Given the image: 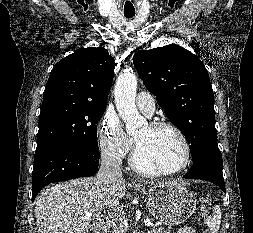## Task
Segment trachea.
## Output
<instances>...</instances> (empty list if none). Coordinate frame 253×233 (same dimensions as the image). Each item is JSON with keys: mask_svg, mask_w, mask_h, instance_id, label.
Wrapping results in <instances>:
<instances>
[{"mask_svg": "<svg viewBox=\"0 0 253 233\" xmlns=\"http://www.w3.org/2000/svg\"><path fill=\"white\" fill-rule=\"evenodd\" d=\"M135 15V13H124V16L128 19L132 18Z\"/></svg>", "mask_w": 253, "mask_h": 233, "instance_id": "obj_1", "label": "trachea"}]
</instances>
